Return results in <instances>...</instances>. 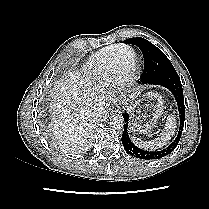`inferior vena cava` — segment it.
Returning <instances> with one entry per match:
<instances>
[{
    "mask_svg": "<svg viewBox=\"0 0 209 209\" xmlns=\"http://www.w3.org/2000/svg\"><path fill=\"white\" fill-rule=\"evenodd\" d=\"M105 112H106V110L104 109V107L100 106V107L96 108L95 115L97 117H100V116H103L105 114Z\"/></svg>",
    "mask_w": 209,
    "mask_h": 209,
    "instance_id": "inferior-vena-cava-1",
    "label": "inferior vena cava"
}]
</instances>
